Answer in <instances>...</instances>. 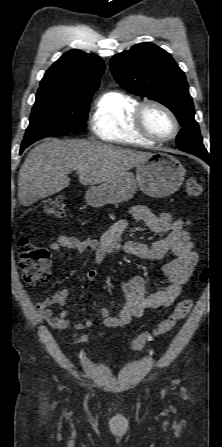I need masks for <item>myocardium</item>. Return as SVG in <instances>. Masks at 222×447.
Here are the masks:
<instances>
[{
  "label": "myocardium",
  "instance_id": "f54148a6",
  "mask_svg": "<svg viewBox=\"0 0 222 447\" xmlns=\"http://www.w3.org/2000/svg\"><path fill=\"white\" fill-rule=\"evenodd\" d=\"M148 107H156L160 110H162L165 114H167L169 116V118L171 119L172 123H173V132L168 136V137H157L154 134H152L146 127L145 123H144V113L145 110ZM133 119H134V124L136 129L146 138L152 140L153 142H157V143H164L167 142L171 139H173L179 131V122L178 119L176 117V115L174 114V112L165 104L156 101V100H145L142 101L138 104L134 115H133Z\"/></svg>",
  "mask_w": 222,
  "mask_h": 447
}]
</instances>
